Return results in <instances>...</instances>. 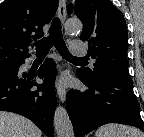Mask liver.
<instances>
[{
    "label": "liver",
    "mask_w": 144,
    "mask_h": 137,
    "mask_svg": "<svg viewBox=\"0 0 144 137\" xmlns=\"http://www.w3.org/2000/svg\"><path fill=\"white\" fill-rule=\"evenodd\" d=\"M40 129L29 119L0 111V137H41Z\"/></svg>",
    "instance_id": "1"
}]
</instances>
